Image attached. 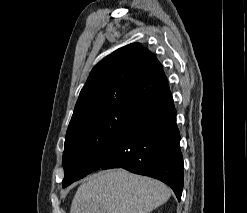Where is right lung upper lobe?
I'll use <instances>...</instances> for the list:
<instances>
[{
  "mask_svg": "<svg viewBox=\"0 0 247 213\" xmlns=\"http://www.w3.org/2000/svg\"><path fill=\"white\" fill-rule=\"evenodd\" d=\"M162 65L140 43L124 46L99 62L80 92L69 129L124 101L167 85Z\"/></svg>",
  "mask_w": 247,
  "mask_h": 213,
  "instance_id": "right-lung-upper-lobe-1",
  "label": "right lung upper lobe"
}]
</instances>
